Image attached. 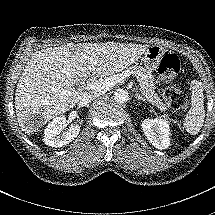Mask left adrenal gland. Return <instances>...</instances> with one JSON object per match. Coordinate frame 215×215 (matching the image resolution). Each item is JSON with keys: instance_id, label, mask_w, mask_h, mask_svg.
Listing matches in <instances>:
<instances>
[{"instance_id": "obj_1", "label": "left adrenal gland", "mask_w": 215, "mask_h": 215, "mask_svg": "<svg viewBox=\"0 0 215 215\" xmlns=\"http://www.w3.org/2000/svg\"><path fill=\"white\" fill-rule=\"evenodd\" d=\"M135 98L137 101H142L143 103H146V101L144 100L143 96L139 93H135Z\"/></svg>"}]
</instances>
